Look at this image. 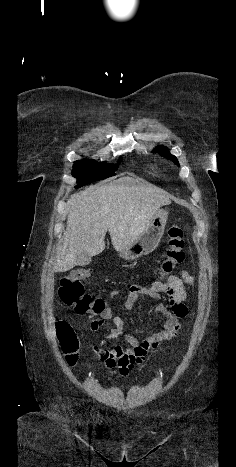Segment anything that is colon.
<instances>
[{"mask_svg":"<svg viewBox=\"0 0 236 467\" xmlns=\"http://www.w3.org/2000/svg\"><path fill=\"white\" fill-rule=\"evenodd\" d=\"M184 232L177 224L168 228V248L159 264L158 277H169L175 268L184 261ZM92 274L89 268H79L60 281L59 297L61 302L80 315L101 314L107 309L106 301L101 297H92L85 292L83 281ZM57 336L66 362L75 365L80 351V339L73 327L65 320L57 322Z\"/></svg>","mask_w":236,"mask_h":467,"instance_id":"5ec220e1","label":"colon"}]
</instances>
